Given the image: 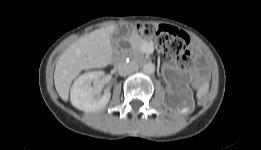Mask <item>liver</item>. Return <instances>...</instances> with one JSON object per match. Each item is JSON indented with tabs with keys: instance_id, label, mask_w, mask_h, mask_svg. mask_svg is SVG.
Listing matches in <instances>:
<instances>
[{
	"instance_id": "1",
	"label": "liver",
	"mask_w": 261,
	"mask_h": 150,
	"mask_svg": "<svg viewBox=\"0 0 261 150\" xmlns=\"http://www.w3.org/2000/svg\"><path fill=\"white\" fill-rule=\"evenodd\" d=\"M116 29V25H111L94 30L80 37L61 54L55 67L54 84L62 100H68L71 83L81 71L104 68L111 63V36Z\"/></svg>"
}]
</instances>
